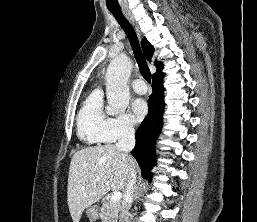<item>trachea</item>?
<instances>
[{"instance_id":"trachea-1","label":"trachea","mask_w":257,"mask_h":222,"mask_svg":"<svg viewBox=\"0 0 257 222\" xmlns=\"http://www.w3.org/2000/svg\"><path fill=\"white\" fill-rule=\"evenodd\" d=\"M110 12L113 14L115 19L118 21V23L121 25V27L125 31L128 39L130 41V44L132 46V50L134 52L135 59L139 65L140 72H141L142 76L144 77V79L148 83H150L151 82V72L149 70V67H148L146 60L143 56V53L141 51L135 30L133 29V27L131 26L129 21L125 18V16L121 12V10H110Z\"/></svg>"}]
</instances>
